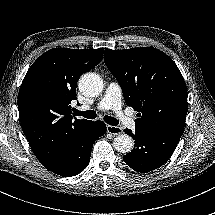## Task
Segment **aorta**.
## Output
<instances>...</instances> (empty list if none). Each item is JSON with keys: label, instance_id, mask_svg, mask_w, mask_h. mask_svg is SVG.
<instances>
[{"label": "aorta", "instance_id": "aorta-1", "mask_svg": "<svg viewBox=\"0 0 215 215\" xmlns=\"http://www.w3.org/2000/svg\"><path fill=\"white\" fill-rule=\"evenodd\" d=\"M79 88L85 96L95 97L102 91L100 77L94 73H85L79 79ZM113 147L120 153L126 154L133 150L134 140L127 134L114 138Z\"/></svg>", "mask_w": 215, "mask_h": 215}]
</instances>
